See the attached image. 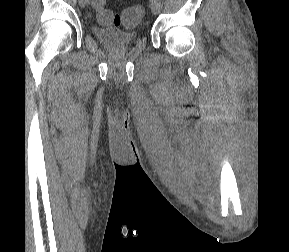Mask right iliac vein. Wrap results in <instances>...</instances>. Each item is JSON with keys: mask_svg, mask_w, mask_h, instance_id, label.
I'll list each match as a JSON object with an SVG mask.
<instances>
[{"mask_svg": "<svg viewBox=\"0 0 289 252\" xmlns=\"http://www.w3.org/2000/svg\"><path fill=\"white\" fill-rule=\"evenodd\" d=\"M89 3H90V0H79V4L81 7H85Z\"/></svg>", "mask_w": 289, "mask_h": 252, "instance_id": "right-iliac-vein-1", "label": "right iliac vein"}]
</instances>
